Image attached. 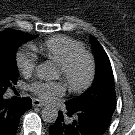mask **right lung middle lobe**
<instances>
[{
	"label": "right lung middle lobe",
	"mask_w": 135,
	"mask_h": 135,
	"mask_svg": "<svg viewBox=\"0 0 135 135\" xmlns=\"http://www.w3.org/2000/svg\"><path fill=\"white\" fill-rule=\"evenodd\" d=\"M36 37L18 30H7L0 33V94H4L8 87L17 82V48L22 43Z\"/></svg>",
	"instance_id": "dd1d6c3e"
}]
</instances>
